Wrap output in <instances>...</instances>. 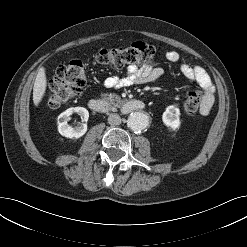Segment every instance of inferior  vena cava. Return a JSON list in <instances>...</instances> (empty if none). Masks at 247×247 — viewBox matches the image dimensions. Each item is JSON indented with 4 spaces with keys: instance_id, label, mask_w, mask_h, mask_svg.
I'll list each match as a JSON object with an SVG mask.
<instances>
[{
    "instance_id": "602c4592",
    "label": "inferior vena cava",
    "mask_w": 247,
    "mask_h": 247,
    "mask_svg": "<svg viewBox=\"0 0 247 247\" xmlns=\"http://www.w3.org/2000/svg\"><path fill=\"white\" fill-rule=\"evenodd\" d=\"M108 123L110 124V125H119V124H121V118H120V116L118 115V114H110L109 116H108Z\"/></svg>"
}]
</instances>
